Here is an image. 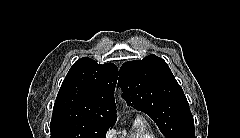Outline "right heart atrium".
Returning a JSON list of instances; mask_svg holds the SVG:
<instances>
[{
	"label": "right heart atrium",
	"instance_id": "1",
	"mask_svg": "<svg viewBox=\"0 0 240 138\" xmlns=\"http://www.w3.org/2000/svg\"><path fill=\"white\" fill-rule=\"evenodd\" d=\"M114 134H115V131L114 129L111 128L106 132V138H113Z\"/></svg>",
	"mask_w": 240,
	"mask_h": 138
}]
</instances>
